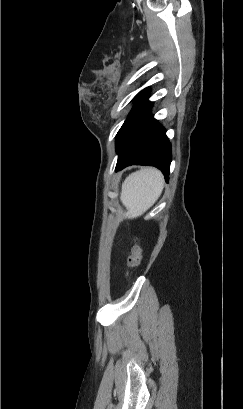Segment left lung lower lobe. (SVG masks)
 Wrapping results in <instances>:
<instances>
[{"label":"left lung lower lobe","mask_w":243,"mask_h":409,"mask_svg":"<svg viewBox=\"0 0 243 409\" xmlns=\"http://www.w3.org/2000/svg\"><path fill=\"white\" fill-rule=\"evenodd\" d=\"M145 92L146 89L138 95L133 110L117 133L116 171L132 164L155 166L168 182L171 144L165 129L151 115L153 102L147 100Z\"/></svg>","instance_id":"obj_1"}]
</instances>
